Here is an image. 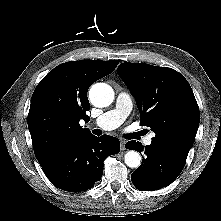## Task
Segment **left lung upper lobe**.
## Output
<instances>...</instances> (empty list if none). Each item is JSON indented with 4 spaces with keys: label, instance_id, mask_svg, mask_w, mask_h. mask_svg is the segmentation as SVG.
<instances>
[{
    "label": "left lung upper lobe",
    "instance_id": "5c2ea615",
    "mask_svg": "<svg viewBox=\"0 0 221 221\" xmlns=\"http://www.w3.org/2000/svg\"><path fill=\"white\" fill-rule=\"evenodd\" d=\"M117 73L136 99L141 126L155 132L152 142L187 159L200 113L184 76L167 67L127 62L119 65Z\"/></svg>",
    "mask_w": 221,
    "mask_h": 221
}]
</instances>
